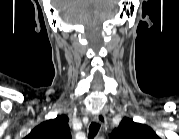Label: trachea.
<instances>
[{"mask_svg": "<svg viewBox=\"0 0 179 139\" xmlns=\"http://www.w3.org/2000/svg\"><path fill=\"white\" fill-rule=\"evenodd\" d=\"M99 129H100V124L96 122H92L89 126L88 138L93 139L97 135Z\"/></svg>", "mask_w": 179, "mask_h": 139, "instance_id": "3493384b", "label": "trachea"}]
</instances>
